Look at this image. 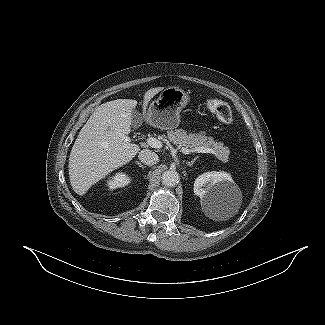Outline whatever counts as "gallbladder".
<instances>
[{"label": "gallbladder", "instance_id": "obj_1", "mask_svg": "<svg viewBox=\"0 0 325 325\" xmlns=\"http://www.w3.org/2000/svg\"><path fill=\"white\" fill-rule=\"evenodd\" d=\"M132 126L133 128H138L142 122V116L141 114L136 111V110H133L132 111Z\"/></svg>", "mask_w": 325, "mask_h": 325}]
</instances>
